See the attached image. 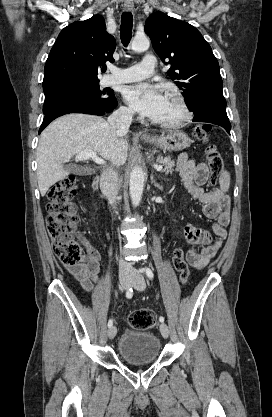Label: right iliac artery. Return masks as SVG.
<instances>
[{
    "instance_id": "obj_1",
    "label": "right iliac artery",
    "mask_w": 272,
    "mask_h": 417,
    "mask_svg": "<svg viewBox=\"0 0 272 417\" xmlns=\"http://www.w3.org/2000/svg\"><path fill=\"white\" fill-rule=\"evenodd\" d=\"M132 296H133V289H132V288H129V289L127 290V292H126V297L130 299V298H132ZM112 325H113V320H112V319H110V320L108 321V327L110 328Z\"/></svg>"
}]
</instances>
